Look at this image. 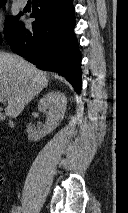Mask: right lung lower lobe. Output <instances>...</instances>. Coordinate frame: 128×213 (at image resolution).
Instances as JSON below:
<instances>
[{
  "label": "right lung lower lobe",
  "instance_id": "right-lung-lower-lobe-1",
  "mask_svg": "<svg viewBox=\"0 0 128 213\" xmlns=\"http://www.w3.org/2000/svg\"><path fill=\"white\" fill-rule=\"evenodd\" d=\"M32 29L19 22L6 40L18 55L42 69L58 72L81 92V53L74 35L72 0H32Z\"/></svg>",
  "mask_w": 128,
  "mask_h": 213
}]
</instances>
